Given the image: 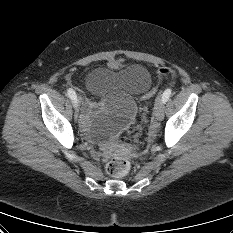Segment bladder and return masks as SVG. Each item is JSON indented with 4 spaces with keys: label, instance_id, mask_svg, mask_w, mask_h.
<instances>
[{
    "label": "bladder",
    "instance_id": "obj_1",
    "mask_svg": "<svg viewBox=\"0 0 233 233\" xmlns=\"http://www.w3.org/2000/svg\"><path fill=\"white\" fill-rule=\"evenodd\" d=\"M87 89L97 95L118 94L120 99L100 104V112L92 118L94 109L84 118L86 133L94 140L107 139L132 121L136 107L131 97L146 94L152 84L149 71L142 65L132 64L120 70L96 68L88 73Z\"/></svg>",
    "mask_w": 233,
    "mask_h": 233
}]
</instances>
